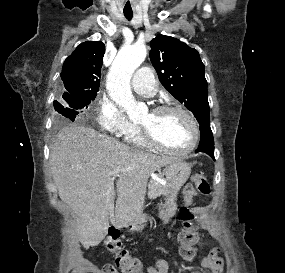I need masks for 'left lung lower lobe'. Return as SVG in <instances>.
I'll use <instances>...</instances> for the list:
<instances>
[{
	"label": "left lung lower lobe",
	"mask_w": 285,
	"mask_h": 273,
	"mask_svg": "<svg viewBox=\"0 0 285 273\" xmlns=\"http://www.w3.org/2000/svg\"><path fill=\"white\" fill-rule=\"evenodd\" d=\"M201 138L198 146L199 152H204L214 158V139L210 128V122L200 125Z\"/></svg>",
	"instance_id": "1"
}]
</instances>
